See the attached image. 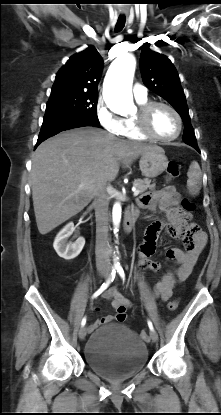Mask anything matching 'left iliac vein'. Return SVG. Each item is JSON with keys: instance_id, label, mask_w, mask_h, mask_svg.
Listing matches in <instances>:
<instances>
[{"instance_id": "obj_1", "label": "left iliac vein", "mask_w": 221, "mask_h": 415, "mask_svg": "<svg viewBox=\"0 0 221 415\" xmlns=\"http://www.w3.org/2000/svg\"><path fill=\"white\" fill-rule=\"evenodd\" d=\"M150 338L152 339L153 342L158 341V335H157L156 331L150 330Z\"/></svg>"}]
</instances>
